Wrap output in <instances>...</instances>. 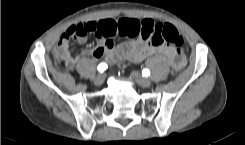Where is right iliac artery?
Listing matches in <instances>:
<instances>
[{"instance_id": "1", "label": "right iliac artery", "mask_w": 245, "mask_h": 145, "mask_svg": "<svg viewBox=\"0 0 245 145\" xmlns=\"http://www.w3.org/2000/svg\"><path fill=\"white\" fill-rule=\"evenodd\" d=\"M97 69H98V71L100 72V73H102L103 71H105L106 69H107V64L106 63H100L99 65H98V67H97Z\"/></svg>"}]
</instances>
